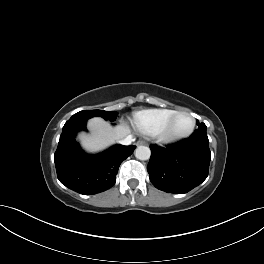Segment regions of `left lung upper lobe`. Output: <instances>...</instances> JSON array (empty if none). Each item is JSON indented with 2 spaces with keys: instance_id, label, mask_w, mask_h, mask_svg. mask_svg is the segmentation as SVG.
Wrapping results in <instances>:
<instances>
[{
  "instance_id": "obj_1",
  "label": "left lung upper lobe",
  "mask_w": 264,
  "mask_h": 264,
  "mask_svg": "<svg viewBox=\"0 0 264 264\" xmlns=\"http://www.w3.org/2000/svg\"><path fill=\"white\" fill-rule=\"evenodd\" d=\"M197 125H198V128H202V129H206V125L204 124V123H199L198 121H197Z\"/></svg>"
}]
</instances>
